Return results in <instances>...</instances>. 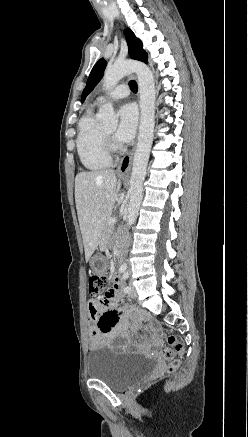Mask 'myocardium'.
<instances>
[{
	"label": "myocardium",
	"instance_id": "f54148a6",
	"mask_svg": "<svg viewBox=\"0 0 248 437\" xmlns=\"http://www.w3.org/2000/svg\"><path fill=\"white\" fill-rule=\"evenodd\" d=\"M104 136H105L106 148L109 154L116 153L121 150V147L113 141L112 137L109 134L104 132Z\"/></svg>",
	"mask_w": 248,
	"mask_h": 437
}]
</instances>
